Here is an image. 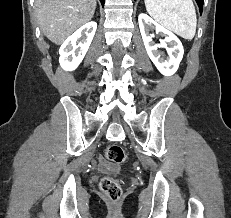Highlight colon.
Segmentation results:
<instances>
[{
    "label": "colon",
    "mask_w": 231,
    "mask_h": 218,
    "mask_svg": "<svg viewBox=\"0 0 231 218\" xmlns=\"http://www.w3.org/2000/svg\"><path fill=\"white\" fill-rule=\"evenodd\" d=\"M108 160L114 164H122L126 157L123 149L118 145H109L105 149ZM101 191L112 202H117L122 197V187L120 182L113 177H104L100 182Z\"/></svg>",
    "instance_id": "1"
}]
</instances>
